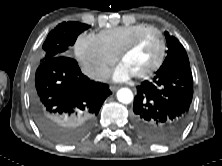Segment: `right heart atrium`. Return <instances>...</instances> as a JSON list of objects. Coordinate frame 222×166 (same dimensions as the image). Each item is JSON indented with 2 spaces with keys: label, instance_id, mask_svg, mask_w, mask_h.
Wrapping results in <instances>:
<instances>
[{
  "label": "right heart atrium",
  "instance_id": "d8ad5b80",
  "mask_svg": "<svg viewBox=\"0 0 222 166\" xmlns=\"http://www.w3.org/2000/svg\"><path fill=\"white\" fill-rule=\"evenodd\" d=\"M74 50L83 72L96 81L104 80L115 62V56L105 50L93 34L78 36Z\"/></svg>",
  "mask_w": 222,
  "mask_h": 166
}]
</instances>
